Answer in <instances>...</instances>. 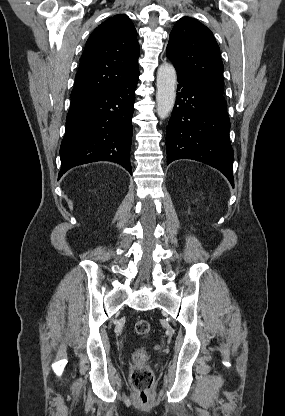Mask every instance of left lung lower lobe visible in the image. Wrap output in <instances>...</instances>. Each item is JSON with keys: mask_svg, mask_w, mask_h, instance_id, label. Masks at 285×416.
Instances as JSON below:
<instances>
[{"mask_svg": "<svg viewBox=\"0 0 285 416\" xmlns=\"http://www.w3.org/2000/svg\"><path fill=\"white\" fill-rule=\"evenodd\" d=\"M177 97L166 131L167 165L192 159L220 170L234 187L230 121L223 95L178 77Z\"/></svg>", "mask_w": 285, "mask_h": 416, "instance_id": "obj_1", "label": "left lung lower lobe"}]
</instances>
